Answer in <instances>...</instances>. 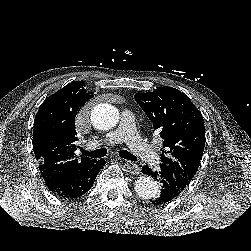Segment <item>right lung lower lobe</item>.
I'll use <instances>...</instances> for the list:
<instances>
[{
    "label": "right lung lower lobe",
    "instance_id": "right-lung-lower-lobe-1",
    "mask_svg": "<svg viewBox=\"0 0 251 251\" xmlns=\"http://www.w3.org/2000/svg\"><path fill=\"white\" fill-rule=\"evenodd\" d=\"M104 165V159L96 160L95 163L80 169L68 170L60 175L49 177L45 183L50 191L58 196L76 198L85 194L92 187L97 174Z\"/></svg>",
    "mask_w": 251,
    "mask_h": 251
}]
</instances>
